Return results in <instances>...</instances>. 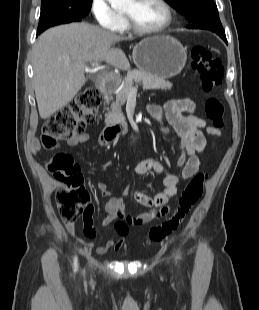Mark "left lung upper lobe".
I'll use <instances>...</instances> for the list:
<instances>
[{
  "instance_id": "obj_1",
  "label": "left lung upper lobe",
  "mask_w": 259,
  "mask_h": 310,
  "mask_svg": "<svg viewBox=\"0 0 259 310\" xmlns=\"http://www.w3.org/2000/svg\"><path fill=\"white\" fill-rule=\"evenodd\" d=\"M189 21L191 28L207 29L217 34H225L213 0H165Z\"/></svg>"
}]
</instances>
